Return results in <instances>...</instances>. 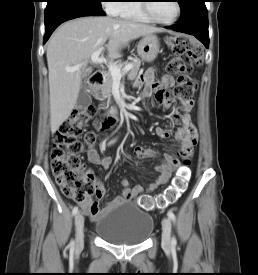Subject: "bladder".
I'll return each instance as SVG.
<instances>
[{
	"label": "bladder",
	"instance_id": "bladder-1",
	"mask_svg": "<svg viewBox=\"0 0 258 275\" xmlns=\"http://www.w3.org/2000/svg\"><path fill=\"white\" fill-rule=\"evenodd\" d=\"M153 228L154 220L148 212L126 202L106 212L96 222L94 231L107 242L135 245L144 243Z\"/></svg>",
	"mask_w": 258,
	"mask_h": 275
}]
</instances>
